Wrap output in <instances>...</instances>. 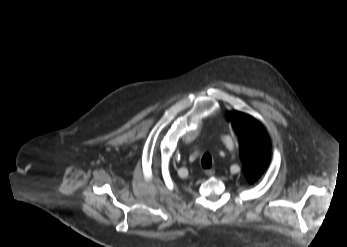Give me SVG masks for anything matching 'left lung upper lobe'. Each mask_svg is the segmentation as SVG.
I'll return each instance as SVG.
<instances>
[{
	"instance_id": "1",
	"label": "left lung upper lobe",
	"mask_w": 347,
	"mask_h": 247,
	"mask_svg": "<svg viewBox=\"0 0 347 247\" xmlns=\"http://www.w3.org/2000/svg\"><path fill=\"white\" fill-rule=\"evenodd\" d=\"M240 137V158L244 174L254 183L265 171L270 160V140L263 126L253 117L234 111L227 113Z\"/></svg>"
}]
</instances>
